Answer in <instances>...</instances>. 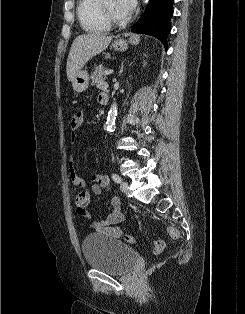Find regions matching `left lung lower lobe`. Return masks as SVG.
<instances>
[{
	"instance_id": "0a47b994",
	"label": "left lung lower lobe",
	"mask_w": 245,
	"mask_h": 314,
	"mask_svg": "<svg viewBox=\"0 0 245 314\" xmlns=\"http://www.w3.org/2000/svg\"><path fill=\"white\" fill-rule=\"evenodd\" d=\"M174 0H150L147 9L132 32L154 36L167 49V35L170 33V19L173 16Z\"/></svg>"
}]
</instances>
